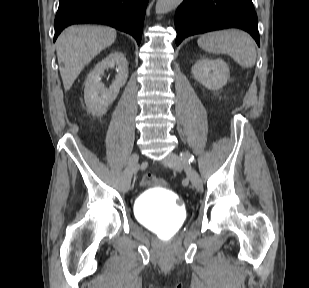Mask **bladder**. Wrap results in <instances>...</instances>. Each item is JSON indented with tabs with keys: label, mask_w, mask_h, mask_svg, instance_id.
Segmentation results:
<instances>
[{
	"label": "bladder",
	"mask_w": 309,
	"mask_h": 288,
	"mask_svg": "<svg viewBox=\"0 0 309 288\" xmlns=\"http://www.w3.org/2000/svg\"><path fill=\"white\" fill-rule=\"evenodd\" d=\"M134 212L141 225L157 233L179 230L187 216L178 197L161 186L142 192L135 200Z\"/></svg>",
	"instance_id": "31cf9c89"
}]
</instances>
